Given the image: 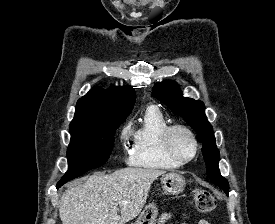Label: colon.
I'll list each match as a JSON object with an SVG mask.
<instances>
[{"instance_id":"5ec220e1","label":"colon","mask_w":275,"mask_h":224,"mask_svg":"<svg viewBox=\"0 0 275 224\" xmlns=\"http://www.w3.org/2000/svg\"><path fill=\"white\" fill-rule=\"evenodd\" d=\"M193 203L197 211L202 213L211 212L216 206L214 196L203 189H196L193 193Z\"/></svg>"}]
</instances>
